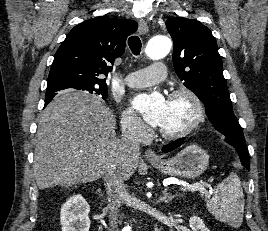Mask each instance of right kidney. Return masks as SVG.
Here are the masks:
<instances>
[{
	"label": "right kidney",
	"mask_w": 268,
	"mask_h": 231,
	"mask_svg": "<svg viewBox=\"0 0 268 231\" xmlns=\"http://www.w3.org/2000/svg\"><path fill=\"white\" fill-rule=\"evenodd\" d=\"M89 211V204L80 194L70 197L60 212L62 231H89Z\"/></svg>",
	"instance_id": "obj_1"
}]
</instances>
